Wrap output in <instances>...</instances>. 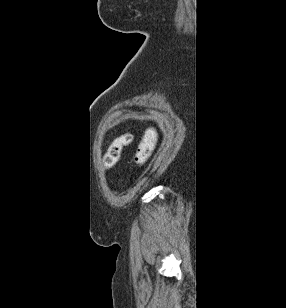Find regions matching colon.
<instances>
[{"mask_svg": "<svg viewBox=\"0 0 286 308\" xmlns=\"http://www.w3.org/2000/svg\"><path fill=\"white\" fill-rule=\"evenodd\" d=\"M133 138L131 133H126L114 139L102 161L105 169H111L117 164L122 150L133 142ZM153 148L154 141L152 139H145L141 142L135 156V164L137 167H143L148 162Z\"/></svg>", "mask_w": 286, "mask_h": 308, "instance_id": "5ec220e1", "label": "colon"}]
</instances>
